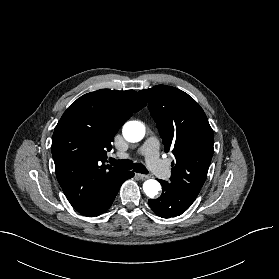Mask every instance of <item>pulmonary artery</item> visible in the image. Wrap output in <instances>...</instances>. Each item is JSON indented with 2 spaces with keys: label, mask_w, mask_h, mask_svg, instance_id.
I'll return each mask as SVG.
<instances>
[{
  "label": "pulmonary artery",
  "mask_w": 279,
  "mask_h": 279,
  "mask_svg": "<svg viewBox=\"0 0 279 279\" xmlns=\"http://www.w3.org/2000/svg\"><path fill=\"white\" fill-rule=\"evenodd\" d=\"M144 155L150 169L159 177L165 179L169 175V170L164 162L159 158V142L155 137L148 138L139 150Z\"/></svg>",
  "instance_id": "pulmonary-artery-1"
}]
</instances>
